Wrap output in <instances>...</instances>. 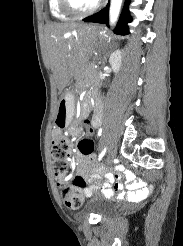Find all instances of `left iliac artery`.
<instances>
[{
	"mask_svg": "<svg viewBox=\"0 0 183 246\" xmlns=\"http://www.w3.org/2000/svg\"><path fill=\"white\" fill-rule=\"evenodd\" d=\"M106 153V148H104V150L99 154L98 156V160L101 161V159L103 158V156L105 155Z\"/></svg>",
	"mask_w": 183,
	"mask_h": 246,
	"instance_id": "left-iliac-artery-1",
	"label": "left iliac artery"
}]
</instances>
